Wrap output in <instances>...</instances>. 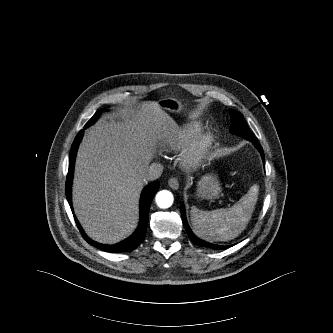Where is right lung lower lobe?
<instances>
[{
	"mask_svg": "<svg viewBox=\"0 0 333 333\" xmlns=\"http://www.w3.org/2000/svg\"><path fill=\"white\" fill-rule=\"evenodd\" d=\"M83 136V131L81 130L78 135L76 136L72 147L70 151V156H69V169H68V174H67V179H66V197L67 200L70 204V207L72 209V204H71V184H72V179H73V170H74V163H75V156L77 152V148L79 145V142L81 141ZM159 189V182L155 181L148 185L147 187L144 188L142 194H141V200H140V222L137 230L135 233L125 239L124 241L117 243L115 245H104L97 243L90 238H88L84 231L82 230L79 222L76 220V224L84 237V239L90 243L91 245L107 252H130L137 248L139 244L144 240L145 234H146V229H147V224L149 220V208L151 205V202L153 200L154 194L157 192ZM73 211V209H72Z\"/></svg>",
	"mask_w": 333,
	"mask_h": 333,
	"instance_id": "1",
	"label": "right lung lower lobe"
}]
</instances>
